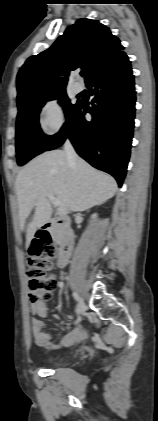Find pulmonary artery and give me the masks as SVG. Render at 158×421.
Listing matches in <instances>:
<instances>
[{"label":"pulmonary artery","instance_id":"obj_1","mask_svg":"<svg viewBox=\"0 0 158 421\" xmlns=\"http://www.w3.org/2000/svg\"><path fill=\"white\" fill-rule=\"evenodd\" d=\"M72 90H73V92H74V93H76V94H78V93L82 92V91H83V85H82V83H81L80 81H76V82L73 84Z\"/></svg>","mask_w":158,"mask_h":421}]
</instances>
